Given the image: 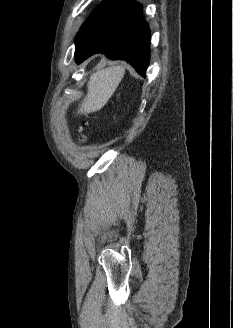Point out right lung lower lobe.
I'll use <instances>...</instances> for the list:
<instances>
[{
    "label": "right lung lower lobe",
    "instance_id": "obj_1",
    "mask_svg": "<svg viewBox=\"0 0 233 328\" xmlns=\"http://www.w3.org/2000/svg\"><path fill=\"white\" fill-rule=\"evenodd\" d=\"M139 3L104 0L82 25L75 40L80 63L96 53L129 62L145 77L150 59V31Z\"/></svg>",
    "mask_w": 233,
    "mask_h": 328
}]
</instances>
